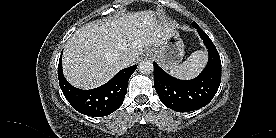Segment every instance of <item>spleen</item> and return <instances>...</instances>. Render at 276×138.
I'll return each instance as SVG.
<instances>
[{
  "label": "spleen",
  "instance_id": "1",
  "mask_svg": "<svg viewBox=\"0 0 276 138\" xmlns=\"http://www.w3.org/2000/svg\"><path fill=\"white\" fill-rule=\"evenodd\" d=\"M207 61V55L203 50H198L192 53L188 59L173 67L170 74L184 80H189L196 77Z\"/></svg>",
  "mask_w": 276,
  "mask_h": 138
}]
</instances>
